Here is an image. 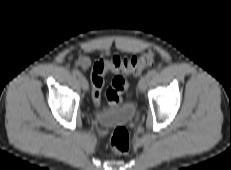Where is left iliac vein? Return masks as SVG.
<instances>
[{
    "mask_svg": "<svg viewBox=\"0 0 231 170\" xmlns=\"http://www.w3.org/2000/svg\"><path fill=\"white\" fill-rule=\"evenodd\" d=\"M150 80H151V78H150V76L148 74L144 75L140 79V81H139V89H140V91H142V92L146 91V89H147V87H148V85L150 83Z\"/></svg>",
    "mask_w": 231,
    "mask_h": 170,
    "instance_id": "4c4485c4",
    "label": "left iliac vein"
}]
</instances>
